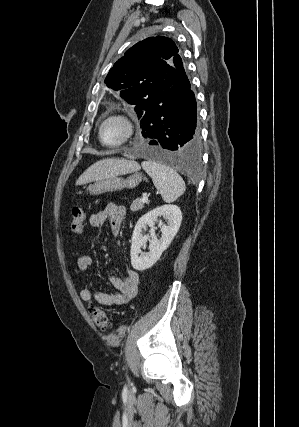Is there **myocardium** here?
<instances>
[{"label":"myocardium","instance_id":"1","mask_svg":"<svg viewBox=\"0 0 299 427\" xmlns=\"http://www.w3.org/2000/svg\"><path fill=\"white\" fill-rule=\"evenodd\" d=\"M112 119H117L119 121H121L125 127V131L124 134L122 136V138L115 142V143H106L103 138H102V129L103 126L105 125L106 122H108L109 120ZM135 133V124L133 122V120L125 113H121V112H115V113H111L109 115H107L106 117H104L101 122L99 123L98 126V139L100 141V143L106 147H110V148H116L119 146H122L124 144H126L129 140H131V138L133 137Z\"/></svg>","mask_w":299,"mask_h":427}]
</instances>
